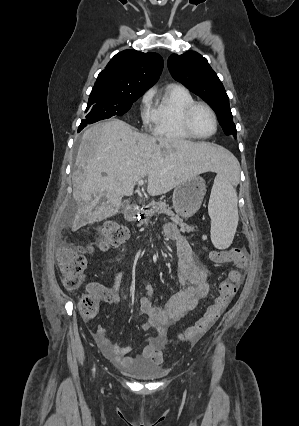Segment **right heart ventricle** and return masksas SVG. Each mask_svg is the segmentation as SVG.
I'll return each instance as SVG.
<instances>
[{"mask_svg":"<svg viewBox=\"0 0 299 426\" xmlns=\"http://www.w3.org/2000/svg\"><path fill=\"white\" fill-rule=\"evenodd\" d=\"M195 102L192 94L182 85L169 84L158 95L154 109L153 133L173 141L190 140L182 125L185 108Z\"/></svg>","mask_w":299,"mask_h":426,"instance_id":"right-heart-ventricle-1","label":"right heart ventricle"}]
</instances>
